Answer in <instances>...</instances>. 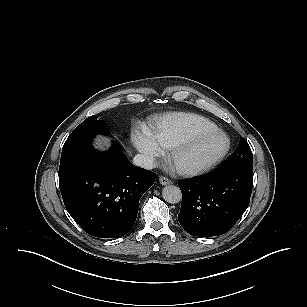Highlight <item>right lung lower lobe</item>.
<instances>
[{
  "mask_svg": "<svg viewBox=\"0 0 307 307\" xmlns=\"http://www.w3.org/2000/svg\"><path fill=\"white\" fill-rule=\"evenodd\" d=\"M59 185L71 217L94 237H121L133 227L139 200L156 175L131 164L115 144L108 152L91 141L61 155Z\"/></svg>",
  "mask_w": 307,
  "mask_h": 307,
  "instance_id": "right-lung-lower-lobe-1",
  "label": "right lung lower lobe"
}]
</instances>
